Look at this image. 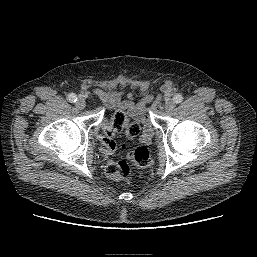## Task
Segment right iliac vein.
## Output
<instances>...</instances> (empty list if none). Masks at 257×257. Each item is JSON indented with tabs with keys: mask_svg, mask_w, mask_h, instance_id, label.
<instances>
[{
	"mask_svg": "<svg viewBox=\"0 0 257 257\" xmlns=\"http://www.w3.org/2000/svg\"><path fill=\"white\" fill-rule=\"evenodd\" d=\"M75 105H76V107H77L78 109H84L85 106H86V102H85V100H84L83 98H79V99L76 101Z\"/></svg>",
	"mask_w": 257,
	"mask_h": 257,
	"instance_id": "obj_1",
	"label": "right iliac vein"
}]
</instances>
